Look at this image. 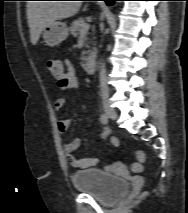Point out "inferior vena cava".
I'll return each instance as SVG.
<instances>
[{
  "label": "inferior vena cava",
  "mask_w": 188,
  "mask_h": 213,
  "mask_svg": "<svg viewBox=\"0 0 188 213\" xmlns=\"http://www.w3.org/2000/svg\"><path fill=\"white\" fill-rule=\"evenodd\" d=\"M100 84H101L102 91L107 93L108 92V85H107V79H106L105 64H102V67H101Z\"/></svg>",
  "instance_id": "1"
}]
</instances>
